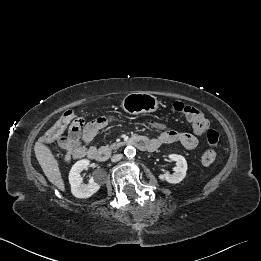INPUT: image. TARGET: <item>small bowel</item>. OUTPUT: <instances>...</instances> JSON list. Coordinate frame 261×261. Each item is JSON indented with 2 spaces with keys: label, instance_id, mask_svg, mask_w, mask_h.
I'll list each match as a JSON object with an SVG mask.
<instances>
[{
  "label": "small bowel",
  "instance_id": "small-bowel-1",
  "mask_svg": "<svg viewBox=\"0 0 261 261\" xmlns=\"http://www.w3.org/2000/svg\"><path fill=\"white\" fill-rule=\"evenodd\" d=\"M111 122L110 118L101 117L93 122L89 123L83 130L81 139L84 142L82 145L77 140H68L64 143H60L61 146L66 151V158L69 159H80L87 156L88 151H96L93 146H88V144L93 140L98 131L108 125ZM152 128L161 131L160 135L155 138L149 139L157 145V148L164 144H180L185 150L192 151L198 145V139L191 133L187 132H177L173 130H166L165 125L160 123H151Z\"/></svg>",
  "mask_w": 261,
  "mask_h": 261
}]
</instances>
